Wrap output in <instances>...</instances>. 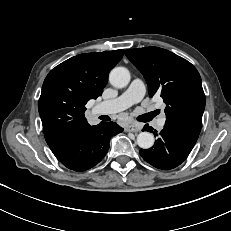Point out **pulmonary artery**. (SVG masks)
<instances>
[{"label": "pulmonary artery", "instance_id": "pulmonary-artery-1", "mask_svg": "<svg viewBox=\"0 0 231 231\" xmlns=\"http://www.w3.org/2000/svg\"><path fill=\"white\" fill-rule=\"evenodd\" d=\"M146 89L142 80L134 79L130 86L117 98L103 101L95 107V112L113 114L127 109L135 103L140 102L144 95ZM165 124V115L162 114L158 121V128H162Z\"/></svg>", "mask_w": 231, "mask_h": 231}]
</instances>
